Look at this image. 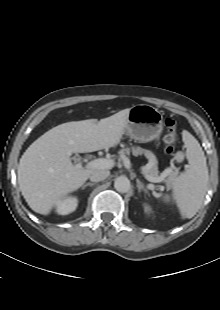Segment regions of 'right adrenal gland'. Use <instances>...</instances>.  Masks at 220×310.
<instances>
[{
	"mask_svg": "<svg viewBox=\"0 0 220 310\" xmlns=\"http://www.w3.org/2000/svg\"><path fill=\"white\" fill-rule=\"evenodd\" d=\"M96 183H90V182H88V183H86V184H84L83 186H82V189H85L87 186H94Z\"/></svg>",
	"mask_w": 220,
	"mask_h": 310,
	"instance_id": "obj_1",
	"label": "right adrenal gland"
}]
</instances>
